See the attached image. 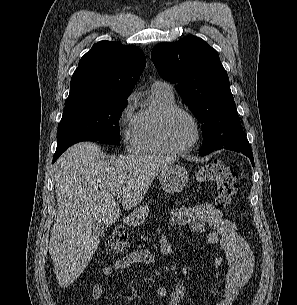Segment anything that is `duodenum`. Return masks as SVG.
<instances>
[{"instance_id":"obj_1","label":"duodenum","mask_w":297,"mask_h":305,"mask_svg":"<svg viewBox=\"0 0 297 305\" xmlns=\"http://www.w3.org/2000/svg\"><path fill=\"white\" fill-rule=\"evenodd\" d=\"M127 222L133 225V224L136 223V219L134 217L130 216V217L127 218Z\"/></svg>"}]
</instances>
